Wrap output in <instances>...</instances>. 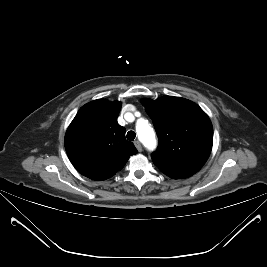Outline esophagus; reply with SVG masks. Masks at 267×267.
Wrapping results in <instances>:
<instances>
[{"instance_id":"obj_1","label":"esophagus","mask_w":267,"mask_h":267,"mask_svg":"<svg viewBox=\"0 0 267 267\" xmlns=\"http://www.w3.org/2000/svg\"><path fill=\"white\" fill-rule=\"evenodd\" d=\"M134 144H135V147L137 148V150H138L139 152H141V151H142V145H141V143H140L138 140H136V141L134 142Z\"/></svg>"}]
</instances>
